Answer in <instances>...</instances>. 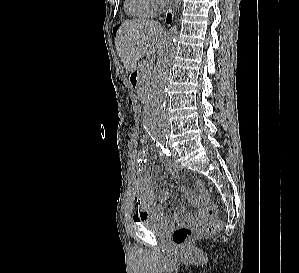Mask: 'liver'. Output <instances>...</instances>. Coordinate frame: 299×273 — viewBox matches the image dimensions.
I'll return each instance as SVG.
<instances>
[{
    "instance_id": "6515ba94",
    "label": "liver",
    "mask_w": 299,
    "mask_h": 273,
    "mask_svg": "<svg viewBox=\"0 0 299 273\" xmlns=\"http://www.w3.org/2000/svg\"><path fill=\"white\" fill-rule=\"evenodd\" d=\"M163 38V28L152 20L138 19L122 23L115 37V47L126 71L133 73L146 54L153 56Z\"/></svg>"
}]
</instances>
